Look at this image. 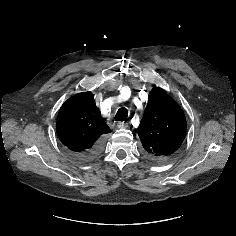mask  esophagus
I'll return each instance as SVG.
<instances>
[{"instance_id":"34e87169","label":"esophagus","mask_w":236,"mask_h":236,"mask_svg":"<svg viewBox=\"0 0 236 236\" xmlns=\"http://www.w3.org/2000/svg\"><path fill=\"white\" fill-rule=\"evenodd\" d=\"M117 127H118L119 129H124V128H127V127H128V124L125 123V122L120 121V122L117 123Z\"/></svg>"}]
</instances>
